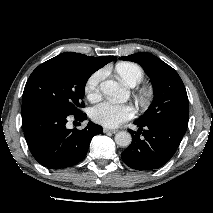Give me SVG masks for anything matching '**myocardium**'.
<instances>
[{
	"mask_svg": "<svg viewBox=\"0 0 213 213\" xmlns=\"http://www.w3.org/2000/svg\"><path fill=\"white\" fill-rule=\"evenodd\" d=\"M137 95L141 101H146L150 97V90L146 87H142L138 90Z\"/></svg>",
	"mask_w": 213,
	"mask_h": 213,
	"instance_id": "f54148a6",
	"label": "myocardium"
}]
</instances>
